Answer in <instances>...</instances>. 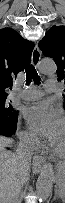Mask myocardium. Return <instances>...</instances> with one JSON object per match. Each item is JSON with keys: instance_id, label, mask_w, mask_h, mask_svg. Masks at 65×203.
Returning <instances> with one entry per match:
<instances>
[{"instance_id": "f54148a6", "label": "myocardium", "mask_w": 65, "mask_h": 203, "mask_svg": "<svg viewBox=\"0 0 65 203\" xmlns=\"http://www.w3.org/2000/svg\"><path fill=\"white\" fill-rule=\"evenodd\" d=\"M49 148L54 156L65 157V150L63 152H60L57 149H55L52 144L49 145Z\"/></svg>"}]
</instances>
